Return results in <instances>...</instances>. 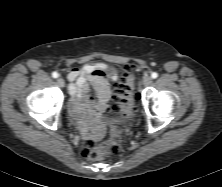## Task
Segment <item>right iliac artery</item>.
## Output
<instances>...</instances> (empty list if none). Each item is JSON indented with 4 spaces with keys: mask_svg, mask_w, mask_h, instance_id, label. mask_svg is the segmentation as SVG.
<instances>
[{
    "mask_svg": "<svg viewBox=\"0 0 222 187\" xmlns=\"http://www.w3.org/2000/svg\"><path fill=\"white\" fill-rule=\"evenodd\" d=\"M52 77L55 78V79L58 78V73L57 72H53L52 73Z\"/></svg>",
    "mask_w": 222,
    "mask_h": 187,
    "instance_id": "obj_1",
    "label": "right iliac artery"
}]
</instances>
